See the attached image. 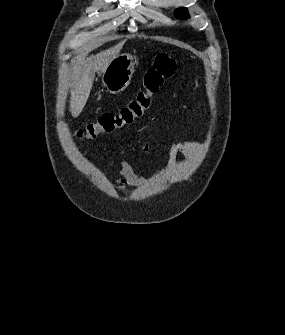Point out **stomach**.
<instances>
[{
	"label": "stomach",
	"instance_id": "obj_1",
	"mask_svg": "<svg viewBox=\"0 0 285 335\" xmlns=\"http://www.w3.org/2000/svg\"><path fill=\"white\" fill-rule=\"evenodd\" d=\"M134 72L133 56L119 54L103 72L102 82L110 94H119L129 86Z\"/></svg>",
	"mask_w": 285,
	"mask_h": 335
}]
</instances>
